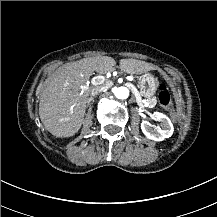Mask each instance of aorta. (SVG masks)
Wrapping results in <instances>:
<instances>
[{
    "label": "aorta",
    "instance_id": "aorta-1",
    "mask_svg": "<svg viewBox=\"0 0 217 217\" xmlns=\"http://www.w3.org/2000/svg\"><path fill=\"white\" fill-rule=\"evenodd\" d=\"M115 98L117 99H126L129 96L128 88L124 86L116 87L115 91L113 92Z\"/></svg>",
    "mask_w": 217,
    "mask_h": 217
}]
</instances>
